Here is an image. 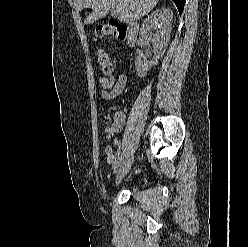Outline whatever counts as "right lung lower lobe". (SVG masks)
Segmentation results:
<instances>
[{
	"instance_id": "1",
	"label": "right lung lower lobe",
	"mask_w": 248,
	"mask_h": 247,
	"mask_svg": "<svg viewBox=\"0 0 248 247\" xmlns=\"http://www.w3.org/2000/svg\"><path fill=\"white\" fill-rule=\"evenodd\" d=\"M173 1L178 8L179 14L181 15L184 9L185 0H173Z\"/></svg>"
}]
</instances>
